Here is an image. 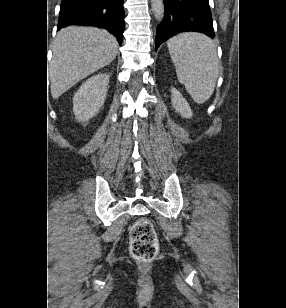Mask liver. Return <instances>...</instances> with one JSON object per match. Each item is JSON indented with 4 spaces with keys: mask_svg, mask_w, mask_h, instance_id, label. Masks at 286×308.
Masks as SVG:
<instances>
[{
    "mask_svg": "<svg viewBox=\"0 0 286 308\" xmlns=\"http://www.w3.org/2000/svg\"><path fill=\"white\" fill-rule=\"evenodd\" d=\"M118 52L116 38L103 29L67 27L53 45L49 67L50 92L59 98L79 81L111 63Z\"/></svg>",
    "mask_w": 286,
    "mask_h": 308,
    "instance_id": "liver-1",
    "label": "liver"
}]
</instances>
